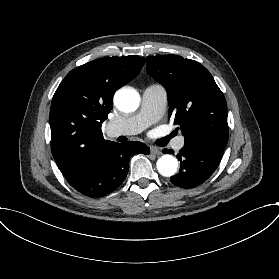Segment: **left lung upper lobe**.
I'll list each match as a JSON object with an SVG mask.
<instances>
[{
    "label": "left lung upper lobe",
    "mask_w": 279,
    "mask_h": 279,
    "mask_svg": "<svg viewBox=\"0 0 279 279\" xmlns=\"http://www.w3.org/2000/svg\"><path fill=\"white\" fill-rule=\"evenodd\" d=\"M147 72L169 95V116L180 125L186 145L224 151L228 142L227 105L210 72L177 55L147 57Z\"/></svg>",
    "instance_id": "5c2ea615"
}]
</instances>
